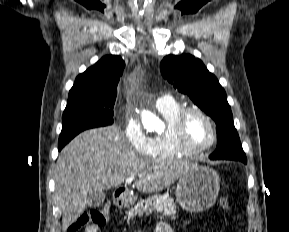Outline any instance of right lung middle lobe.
Here are the masks:
<instances>
[{
	"instance_id": "obj_1",
	"label": "right lung middle lobe",
	"mask_w": 289,
	"mask_h": 232,
	"mask_svg": "<svg viewBox=\"0 0 289 232\" xmlns=\"http://www.w3.org/2000/svg\"><path fill=\"white\" fill-rule=\"evenodd\" d=\"M115 99L116 97H80L68 100L58 147L65 146L86 129L111 125Z\"/></svg>"
}]
</instances>
